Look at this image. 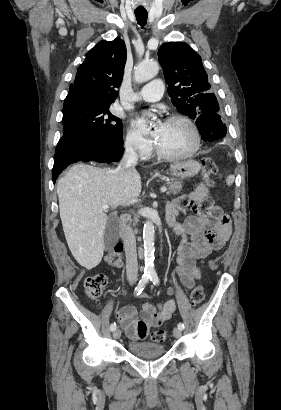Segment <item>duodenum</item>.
Listing matches in <instances>:
<instances>
[{"label":"duodenum","mask_w":281,"mask_h":410,"mask_svg":"<svg viewBox=\"0 0 281 410\" xmlns=\"http://www.w3.org/2000/svg\"><path fill=\"white\" fill-rule=\"evenodd\" d=\"M127 221H128V215L127 214H122L119 217V225H120V228H121L122 237H124V235H125L123 228H124V225L126 224Z\"/></svg>","instance_id":"obj_1"}]
</instances>
